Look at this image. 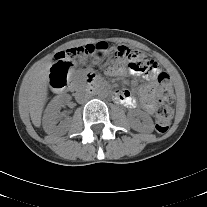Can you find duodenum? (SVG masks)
I'll list each match as a JSON object with an SVG mask.
<instances>
[{
    "instance_id": "duodenum-1",
    "label": "duodenum",
    "mask_w": 207,
    "mask_h": 207,
    "mask_svg": "<svg viewBox=\"0 0 207 207\" xmlns=\"http://www.w3.org/2000/svg\"><path fill=\"white\" fill-rule=\"evenodd\" d=\"M88 83H89V89L91 91H98V90L103 89V86L92 76L88 77Z\"/></svg>"
}]
</instances>
